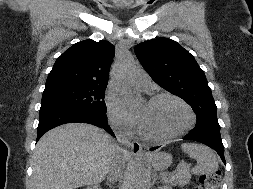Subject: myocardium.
Returning a JSON list of instances; mask_svg holds the SVG:
<instances>
[{"instance_id": "f54148a6", "label": "myocardium", "mask_w": 253, "mask_h": 189, "mask_svg": "<svg viewBox=\"0 0 253 189\" xmlns=\"http://www.w3.org/2000/svg\"><path fill=\"white\" fill-rule=\"evenodd\" d=\"M163 99L172 100V101L178 103L179 105H181L186 110V112L188 114V121L182 128H180L176 132H174L170 135H167V136H155V135L149 134L148 132L144 131L142 128L140 129V131L144 137H146L149 140L156 141V142H167V141L173 140L175 138H178V137L184 135L185 133H187L188 131H190L196 123V116H195V113L192 110L191 106L186 101H184L182 98H180L174 94H171V93L155 94L150 97L148 103H155V102L163 100Z\"/></svg>"}]
</instances>
